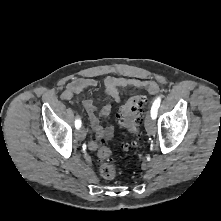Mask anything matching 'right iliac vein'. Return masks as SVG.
Listing matches in <instances>:
<instances>
[{"label": "right iliac vein", "mask_w": 221, "mask_h": 221, "mask_svg": "<svg viewBox=\"0 0 221 221\" xmlns=\"http://www.w3.org/2000/svg\"><path fill=\"white\" fill-rule=\"evenodd\" d=\"M76 137L78 140L82 141L85 139L86 137V131L84 129V127H82L81 129H79L76 133Z\"/></svg>", "instance_id": "1"}]
</instances>
